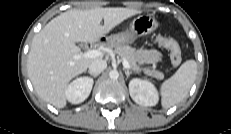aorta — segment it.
<instances>
[{
	"label": "aorta",
	"mask_w": 231,
	"mask_h": 134,
	"mask_svg": "<svg viewBox=\"0 0 231 134\" xmlns=\"http://www.w3.org/2000/svg\"><path fill=\"white\" fill-rule=\"evenodd\" d=\"M109 77L111 79H117L119 77V72L117 70H111L109 72Z\"/></svg>",
	"instance_id": "762f6f07"
}]
</instances>
